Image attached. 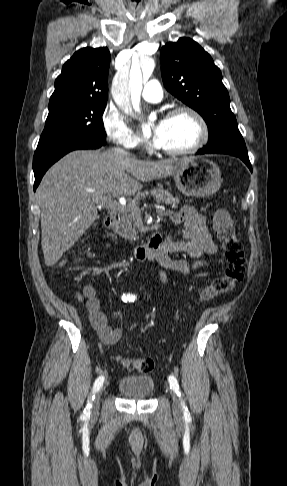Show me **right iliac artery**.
<instances>
[{
  "label": "right iliac artery",
  "instance_id": "obj_1",
  "mask_svg": "<svg viewBox=\"0 0 287 486\" xmlns=\"http://www.w3.org/2000/svg\"><path fill=\"white\" fill-rule=\"evenodd\" d=\"M131 299H135V296H134V295H130V294H128V295H125V294H124V295L122 296V300H123L124 302H127V301H129V300H131ZM103 382H104V376H99V377L96 379V381H95V383H94V385H93V388H92V395L90 396V399H89V401H88V403H87V406H86V408L84 409V416H85V417L90 416V410H91V408H92V403H91V402H92V400H94V398H95V393H96V392H97V391H98V390L101 388V386H102Z\"/></svg>",
  "mask_w": 287,
  "mask_h": 486
}]
</instances>
